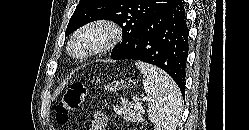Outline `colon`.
I'll list each match as a JSON object with an SVG mask.
<instances>
[{
  "label": "colon",
  "instance_id": "1",
  "mask_svg": "<svg viewBox=\"0 0 249 130\" xmlns=\"http://www.w3.org/2000/svg\"><path fill=\"white\" fill-rule=\"evenodd\" d=\"M88 92V86L83 82H75L64 92L56 106V120L58 124L68 123L72 112L77 110Z\"/></svg>",
  "mask_w": 249,
  "mask_h": 130
}]
</instances>
